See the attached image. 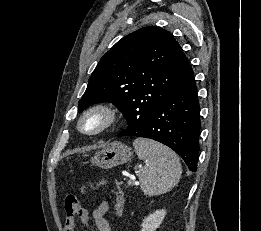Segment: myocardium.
I'll return each mask as SVG.
<instances>
[{
    "mask_svg": "<svg viewBox=\"0 0 261 231\" xmlns=\"http://www.w3.org/2000/svg\"><path fill=\"white\" fill-rule=\"evenodd\" d=\"M92 116H98L101 121L100 124L92 130H85L82 128L83 122ZM119 110L118 108L106 102L95 103L87 107L79 116L76 128L78 132L87 136L98 135L107 129L111 128L119 119Z\"/></svg>",
    "mask_w": 261,
    "mask_h": 231,
    "instance_id": "obj_1",
    "label": "myocardium"
}]
</instances>
